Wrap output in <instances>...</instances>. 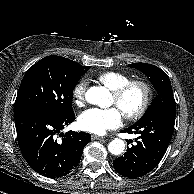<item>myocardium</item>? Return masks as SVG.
<instances>
[{
    "label": "myocardium",
    "mask_w": 194,
    "mask_h": 194,
    "mask_svg": "<svg viewBox=\"0 0 194 194\" xmlns=\"http://www.w3.org/2000/svg\"><path fill=\"white\" fill-rule=\"evenodd\" d=\"M136 86L140 87L143 90V100L140 106L135 111L123 113L124 118L127 120H136L145 114L152 99V87L147 81L136 79L130 80L120 87L116 88L115 90H112V96L115 98L116 101H120L131 88Z\"/></svg>",
    "instance_id": "myocardium-1"
}]
</instances>
